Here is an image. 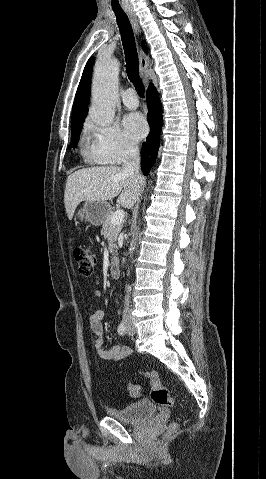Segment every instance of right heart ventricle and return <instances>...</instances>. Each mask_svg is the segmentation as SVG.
<instances>
[{
  "label": "right heart ventricle",
  "instance_id": "obj_1",
  "mask_svg": "<svg viewBox=\"0 0 266 479\" xmlns=\"http://www.w3.org/2000/svg\"><path fill=\"white\" fill-rule=\"evenodd\" d=\"M83 154L87 159H90L89 145L86 143L83 145Z\"/></svg>",
  "mask_w": 266,
  "mask_h": 479
}]
</instances>
